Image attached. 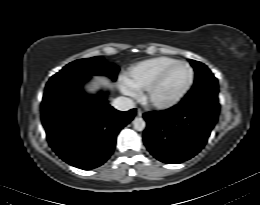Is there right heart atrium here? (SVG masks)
I'll use <instances>...</instances> for the list:
<instances>
[{
    "mask_svg": "<svg viewBox=\"0 0 260 205\" xmlns=\"http://www.w3.org/2000/svg\"><path fill=\"white\" fill-rule=\"evenodd\" d=\"M121 91L130 97H135L137 95V92L132 89L130 86H128L125 82L121 85Z\"/></svg>",
    "mask_w": 260,
    "mask_h": 205,
    "instance_id": "obj_1",
    "label": "right heart atrium"
}]
</instances>
